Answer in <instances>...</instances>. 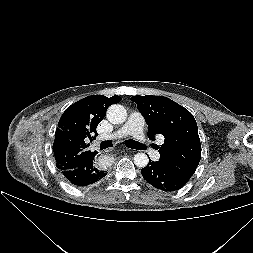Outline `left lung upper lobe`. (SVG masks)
Listing matches in <instances>:
<instances>
[{"label":"left lung upper lobe","instance_id":"left-lung-upper-lobe-1","mask_svg":"<svg viewBox=\"0 0 253 253\" xmlns=\"http://www.w3.org/2000/svg\"><path fill=\"white\" fill-rule=\"evenodd\" d=\"M131 101L148 125V138L162 134L164 144L158 147L159 163L173 174L189 181L201 159V144L193 115L173 100L163 96H133Z\"/></svg>","mask_w":253,"mask_h":253}]
</instances>
